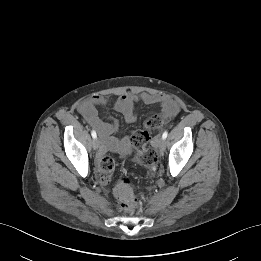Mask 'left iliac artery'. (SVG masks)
I'll return each instance as SVG.
<instances>
[{
	"label": "left iliac artery",
	"instance_id": "obj_1",
	"mask_svg": "<svg viewBox=\"0 0 261 261\" xmlns=\"http://www.w3.org/2000/svg\"><path fill=\"white\" fill-rule=\"evenodd\" d=\"M167 136H168V132H167V131H165V132L163 133V135H162V138H163V139H166V138H167Z\"/></svg>",
	"mask_w": 261,
	"mask_h": 261
}]
</instances>
